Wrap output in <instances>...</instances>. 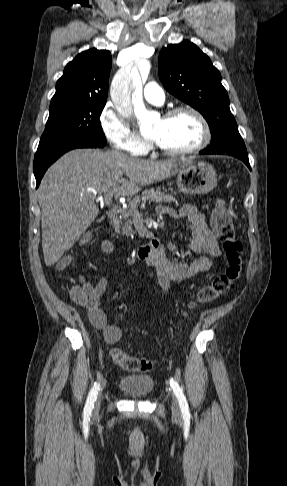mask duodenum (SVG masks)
Returning <instances> with one entry per match:
<instances>
[{"mask_svg": "<svg viewBox=\"0 0 287 486\" xmlns=\"http://www.w3.org/2000/svg\"><path fill=\"white\" fill-rule=\"evenodd\" d=\"M118 216V211L116 209H112L107 213V220L109 223H113ZM160 242L157 238H153L150 243L141 245L137 249V257L140 260H146L153 254H155L159 248Z\"/></svg>", "mask_w": 287, "mask_h": 486, "instance_id": "duodenum-1", "label": "duodenum"}]
</instances>
